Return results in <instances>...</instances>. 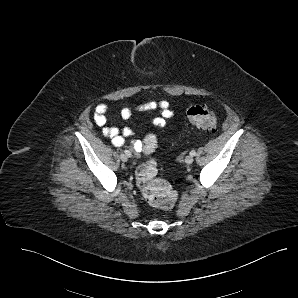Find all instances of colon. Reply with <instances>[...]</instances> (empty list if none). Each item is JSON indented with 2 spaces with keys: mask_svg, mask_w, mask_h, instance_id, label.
<instances>
[{
  "mask_svg": "<svg viewBox=\"0 0 298 298\" xmlns=\"http://www.w3.org/2000/svg\"><path fill=\"white\" fill-rule=\"evenodd\" d=\"M190 122L198 128L213 130L217 125L215 112L207 105H194L187 111ZM157 147V137L148 133L142 141L141 152L149 154ZM158 167L149 160L136 169V182L149 204L161 209H171L177 199L174 188L164 179L157 177Z\"/></svg>",
  "mask_w": 298,
  "mask_h": 298,
  "instance_id": "colon-1",
  "label": "colon"
}]
</instances>
